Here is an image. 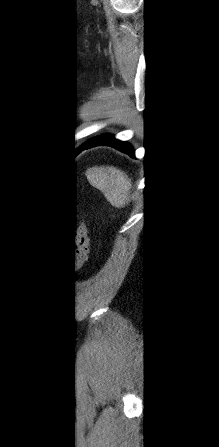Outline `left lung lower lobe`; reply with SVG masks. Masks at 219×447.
<instances>
[{
    "instance_id": "0a47b994",
    "label": "left lung lower lobe",
    "mask_w": 219,
    "mask_h": 447,
    "mask_svg": "<svg viewBox=\"0 0 219 447\" xmlns=\"http://www.w3.org/2000/svg\"><path fill=\"white\" fill-rule=\"evenodd\" d=\"M100 145H109L124 153H127L132 157L134 156V149L129 143L116 140L114 139V136L109 134L100 135L98 137L90 139L88 142H86L81 146L79 152H81L84 149Z\"/></svg>"
}]
</instances>
